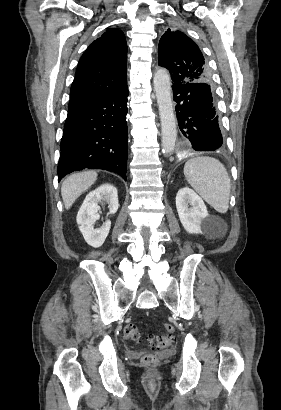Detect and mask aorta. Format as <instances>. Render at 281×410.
<instances>
[{
	"label": "aorta",
	"mask_w": 281,
	"mask_h": 410,
	"mask_svg": "<svg viewBox=\"0 0 281 410\" xmlns=\"http://www.w3.org/2000/svg\"><path fill=\"white\" fill-rule=\"evenodd\" d=\"M153 84L161 120L162 151L169 156L175 149L177 126L168 71L158 69L154 74Z\"/></svg>",
	"instance_id": "1"
}]
</instances>
